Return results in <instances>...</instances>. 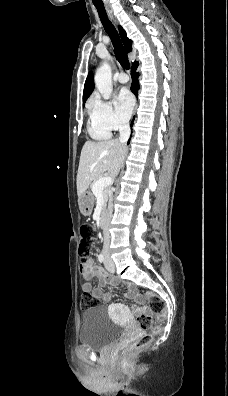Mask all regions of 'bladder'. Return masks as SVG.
I'll return each instance as SVG.
<instances>
[{"instance_id":"31cf9c89","label":"bladder","mask_w":228,"mask_h":396,"mask_svg":"<svg viewBox=\"0 0 228 396\" xmlns=\"http://www.w3.org/2000/svg\"><path fill=\"white\" fill-rule=\"evenodd\" d=\"M124 328L113 322L104 308H93L82 315L79 341L92 350L102 351L117 342Z\"/></svg>"}]
</instances>
